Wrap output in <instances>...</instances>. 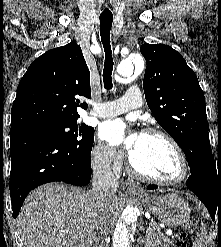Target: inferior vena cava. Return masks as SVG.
Here are the masks:
<instances>
[{
	"instance_id": "inferior-vena-cava-1",
	"label": "inferior vena cava",
	"mask_w": 221,
	"mask_h": 247,
	"mask_svg": "<svg viewBox=\"0 0 221 247\" xmlns=\"http://www.w3.org/2000/svg\"><path fill=\"white\" fill-rule=\"evenodd\" d=\"M111 161L104 158L100 165L93 168L92 189L90 195L98 209L104 210L109 199L115 194L118 188V181L110 168ZM106 232L101 226L94 236V247H108Z\"/></svg>"
}]
</instances>
